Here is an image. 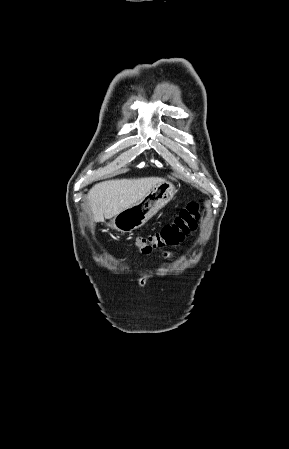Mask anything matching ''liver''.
<instances>
[{"label":"liver","instance_id":"6515ba94","mask_svg":"<svg viewBox=\"0 0 289 449\" xmlns=\"http://www.w3.org/2000/svg\"><path fill=\"white\" fill-rule=\"evenodd\" d=\"M159 177L117 179L95 185L87 200L95 222L111 219L141 200L153 187L162 182Z\"/></svg>","mask_w":289,"mask_h":449}]
</instances>
